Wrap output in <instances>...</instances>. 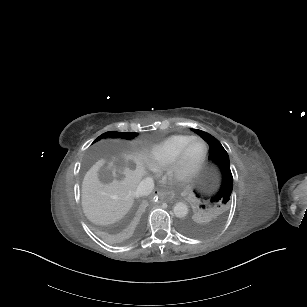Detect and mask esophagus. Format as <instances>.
Here are the masks:
<instances>
[{"label": "esophagus", "instance_id": "1", "mask_svg": "<svg viewBox=\"0 0 307 307\" xmlns=\"http://www.w3.org/2000/svg\"><path fill=\"white\" fill-rule=\"evenodd\" d=\"M162 201H171L174 198L173 192L154 191Z\"/></svg>", "mask_w": 307, "mask_h": 307}]
</instances>
